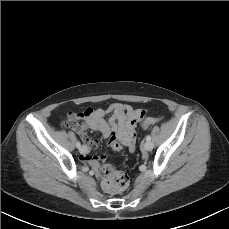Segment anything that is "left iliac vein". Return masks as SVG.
<instances>
[{
    "label": "left iliac vein",
    "mask_w": 229,
    "mask_h": 229,
    "mask_svg": "<svg viewBox=\"0 0 229 229\" xmlns=\"http://www.w3.org/2000/svg\"><path fill=\"white\" fill-rule=\"evenodd\" d=\"M144 148L147 151H151L153 149V143L151 141H146L144 143Z\"/></svg>",
    "instance_id": "left-iliac-vein-1"
}]
</instances>
